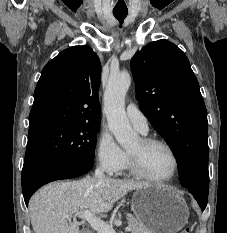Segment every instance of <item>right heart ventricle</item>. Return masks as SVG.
Returning <instances> with one entry per match:
<instances>
[{"instance_id": "e07e8e85", "label": "right heart ventricle", "mask_w": 227, "mask_h": 233, "mask_svg": "<svg viewBox=\"0 0 227 233\" xmlns=\"http://www.w3.org/2000/svg\"><path fill=\"white\" fill-rule=\"evenodd\" d=\"M130 169V165H129V160H128V155H127V159H126V164H125V167L124 169Z\"/></svg>"}]
</instances>
